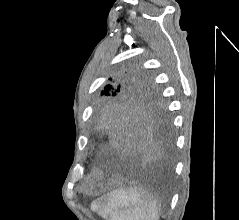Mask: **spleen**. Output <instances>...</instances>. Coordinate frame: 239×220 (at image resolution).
I'll return each mask as SVG.
<instances>
[{"label":"spleen","mask_w":239,"mask_h":220,"mask_svg":"<svg viewBox=\"0 0 239 220\" xmlns=\"http://www.w3.org/2000/svg\"><path fill=\"white\" fill-rule=\"evenodd\" d=\"M106 220H159L157 201L134 188L114 189L93 205Z\"/></svg>","instance_id":"1"}]
</instances>
